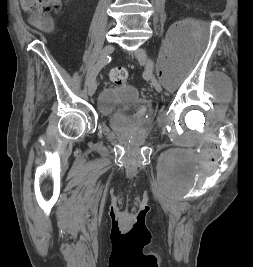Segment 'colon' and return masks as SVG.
Returning <instances> with one entry per match:
<instances>
[{"label":"colon","mask_w":253,"mask_h":267,"mask_svg":"<svg viewBox=\"0 0 253 267\" xmlns=\"http://www.w3.org/2000/svg\"><path fill=\"white\" fill-rule=\"evenodd\" d=\"M24 10L36 16L58 12L61 0H21ZM110 80L117 85H124L128 80V72L122 67H115L109 73Z\"/></svg>","instance_id":"colon-1"}]
</instances>
